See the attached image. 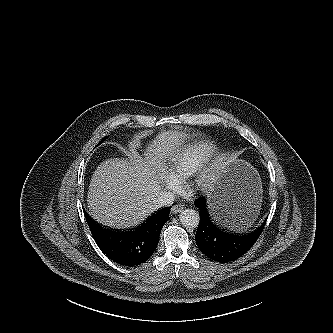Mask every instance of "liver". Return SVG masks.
<instances>
[{"label": "liver", "instance_id": "6515ba94", "mask_svg": "<svg viewBox=\"0 0 333 333\" xmlns=\"http://www.w3.org/2000/svg\"><path fill=\"white\" fill-rule=\"evenodd\" d=\"M188 134L163 131L145 148L127 159H108L95 170L88 191L90 216L113 228L133 227L157 208L153 199L167 174V162L178 159Z\"/></svg>", "mask_w": 333, "mask_h": 333}]
</instances>
